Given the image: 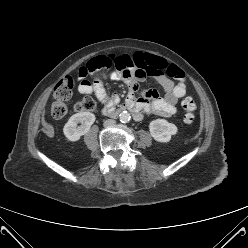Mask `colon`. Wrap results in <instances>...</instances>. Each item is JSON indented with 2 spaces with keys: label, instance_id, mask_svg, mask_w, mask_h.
Here are the masks:
<instances>
[{
  "label": "colon",
  "instance_id": "1",
  "mask_svg": "<svg viewBox=\"0 0 248 248\" xmlns=\"http://www.w3.org/2000/svg\"><path fill=\"white\" fill-rule=\"evenodd\" d=\"M132 64L125 56L110 54L107 56H100L92 59L86 65V74L116 70L128 73ZM74 87V80L70 76H65L58 81L54 87V100L51 106V114L54 118L60 119L67 115L68 108L65 104L70 99ZM95 101L86 97L78 101L75 105V111L88 112L95 109ZM181 107L184 112L183 121L187 125H191L195 121L196 104L191 97H186L181 102Z\"/></svg>",
  "mask_w": 248,
  "mask_h": 248
}]
</instances>
